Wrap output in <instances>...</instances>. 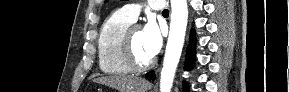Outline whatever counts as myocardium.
Segmentation results:
<instances>
[{"label":"myocardium","instance_id":"obj_1","mask_svg":"<svg viewBox=\"0 0 289 92\" xmlns=\"http://www.w3.org/2000/svg\"><path fill=\"white\" fill-rule=\"evenodd\" d=\"M140 28L139 25L131 24L127 29L125 30L122 40H121V54L126 62V64L133 70V71H144L149 68H151L155 60L152 58L151 60L147 62H140L133 49V41L132 36L135 29Z\"/></svg>","mask_w":289,"mask_h":92}]
</instances>
